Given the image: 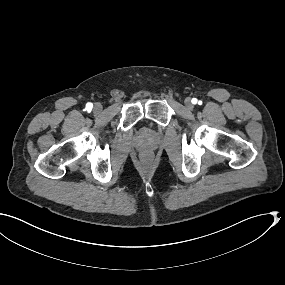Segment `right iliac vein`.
<instances>
[{"instance_id": "63e3f726", "label": "right iliac vein", "mask_w": 285, "mask_h": 285, "mask_svg": "<svg viewBox=\"0 0 285 285\" xmlns=\"http://www.w3.org/2000/svg\"><path fill=\"white\" fill-rule=\"evenodd\" d=\"M103 109V106L100 103H95L93 106V111L95 113H100Z\"/></svg>"}]
</instances>
